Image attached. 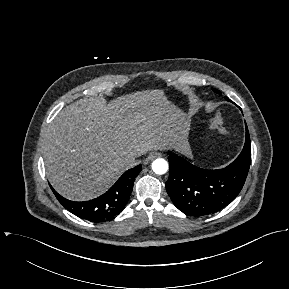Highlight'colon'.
I'll return each mask as SVG.
<instances>
[{
	"mask_svg": "<svg viewBox=\"0 0 289 289\" xmlns=\"http://www.w3.org/2000/svg\"><path fill=\"white\" fill-rule=\"evenodd\" d=\"M210 126L213 130L221 135L228 134V129L226 128L223 119L219 115H216L212 118Z\"/></svg>",
	"mask_w": 289,
	"mask_h": 289,
	"instance_id": "colon-1",
	"label": "colon"
}]
</instances>
